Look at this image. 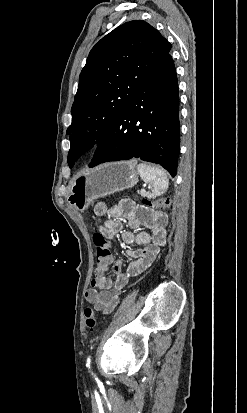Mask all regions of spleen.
<instances>
[{"instance_id": "spleen-1", "label": "spleen", "mask_w": 247, "mask_h": 413, "mask_svg": "<svg viewBox=\"0 0 247 413\" xmlns=\"http://www.w3.org/2000/svg\"><path fill=\"white\" fill-rule=\"evenodd\" d=\"M138 170L140 172L141 178H143V180L147 182V172L146 170H143L142 162L141 164H138ZM150 176L151 184L153 186L152 194H154V196H160V194H163L166 188H168V178L163 168H160V166H153V168H151L150 170Z\"/></svg>"}]
</instances>
